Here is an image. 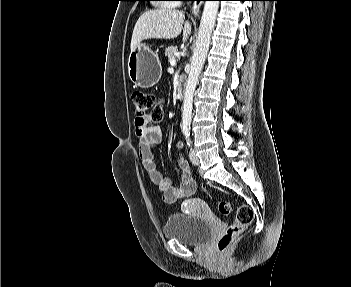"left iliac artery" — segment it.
<instances>
[{
  "mask_svg": "<svg viewBox=\"0 0 351 287\" xmlns=\"http://www.w3.org/2000/svg\"><path fill=\"white\" fill-rule=\"evenodd\" d=\"M185 135H186V139H187V145L190 147V145H191V141L189 139L190 133H186Z\"/></svg>",
  "mask_w": 351,
  "mask_h": 287,
  "instance_id": "1",
  "label": "left iliac artery"
}]
</instances>
